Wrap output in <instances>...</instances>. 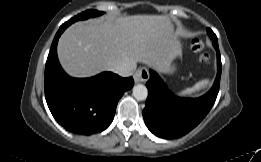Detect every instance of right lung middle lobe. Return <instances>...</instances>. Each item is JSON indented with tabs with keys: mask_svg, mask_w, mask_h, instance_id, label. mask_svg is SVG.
<instances>
[{
	"mask_svg": "<svg viewBox=\"0 0 261 162\" xmlns=\"http://www.w3.org/2000/svg\"><path fill=\"white\" fill-rule=\"evenodd\" d=\"M103 12L101 11H96V10H87L85 12L80 13L79 15L75 16L74 18L71 19V22H76L78 20H84L87 19L89 17H95V16H99L102 15Z\"/></svg>",
	"mask_w": 261,
	"mask_h": 162,
	"instance_id": "dd1d6c3e",
	"label": "right lung middle lobe"
}]
</instances>
